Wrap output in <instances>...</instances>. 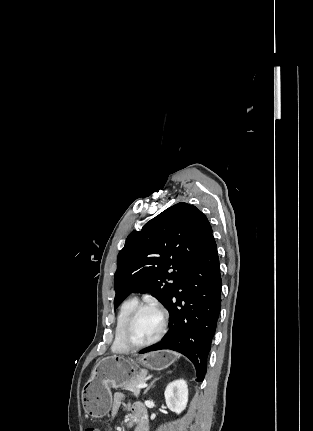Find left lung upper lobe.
Masks as SVG:
<instances>
[{
  "mask_svg": "<svg viewBox=\"0 0 313 431\" xmlns=\"http://www.w3.org/2000/svg\"><path fill=\"white\" fill-rule=\"evenodd\" d=\"M212 233L207 217L180 202L132 232L117 258L114 307L130 293H147L166 308Z\"/></svg>",
  "mask_w": 313,
  "mask_h": 431,
  "instance_id": "obj_1",
  "label": "left lung upper lobe"
}]
</instances>
